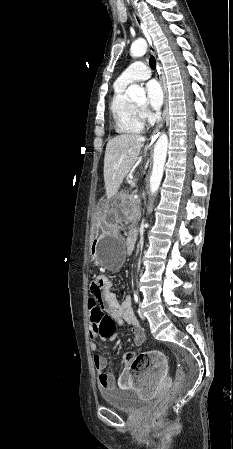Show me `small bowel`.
I'll return each mask as SVG.
<instances>
[{"label":"small bowel","mask_w":233,"mask_h":449,"mask_svg":"<svg viewBox=\"0 0 233 449\" xmlns=\"http://www.w3.org/2000/svg\"><path fill=\"white\" fill-rule=\"evenodd\" d=\"M113 285L111 274H94L90 280V291L93 298L90 301H100L101 307L107 308L114 325H123L127 323L131 327L134 344L140 346L144 343L146 335L142 326L136 319L132 310V300L130 295H125L120 302L116 294L111 290ZM90 344L93 351V362L98 373V384L101 389H109L115 385V377L107 371V359L99 353L98 345L95 340L99 337L93 333L90 328ZM107 341H113L116 338H103ZM149 354L148 368L142 369V375H129L124 370L118 378V383L124 385L130 384L131 390H135L136 399H156L157 394L162 393L163 377H167L168 370L166 365V354H158L157 348L151 349ZM128 353L125 358L131 357Z\"/></svg>","instance_id":"small-bowel-1"}]
</instances>
